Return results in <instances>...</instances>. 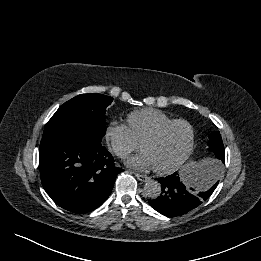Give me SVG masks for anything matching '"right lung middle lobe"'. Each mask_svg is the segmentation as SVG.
<instances>
[{
    "mask_svg": "<svg viewBox=\"0 0 261 261\" xmlns=\"http://www.w3.org/2000/svg\"><path fill=\"white\" fill-rule=\"evenodd\" d=\"M112 101V97L102 94H81L72 98L48 121L42 139L73 131H92L103 137L106 108Z\"/></svg>",
    "mask_w": 261,
    "mask_h": 261,
    "instance_id": "obj_1",
    "label": "right lung middle lobe"
}]
</instances>
